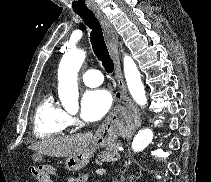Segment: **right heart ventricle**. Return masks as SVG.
I'll return each instance as SVG.
<instances>
[{
  "label": "right heart ventricle",
  "instance_id": "right-heart-ventricle-1",
  "mask_svg": "<svg viewBox=\"0 0 211 182\" xmlns=\"http://www.w3.org/2000/svg\"><path fill=\"white\" fill-rule=\"evenodd\" d=\"M69 126L68 114L48 93L40 100L34 116V134L37 138L50 139L63 134Z\"/></svg>",
  "mask_w": 211,
  "mask_h": 182
}]
</instances>
